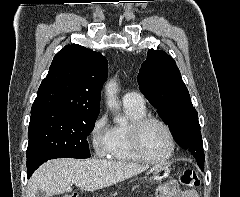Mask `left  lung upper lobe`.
Returning <instances> with one entry per match:
<instances>
[{
    "label": "left lung upper lobe",
    "instance_id": "5c2ea615",
    "mask_svg": "<svg viewBox=\"0 0 240 197\" xmlns=\"http://www.w3.org/2000/svg\"><path fill=\"white\" fill-rule=\"evenodd\" d=\"M138 84L170 127L176 142L191 152L198 165L204 163L198 114L174 59L164 51L148 50L138 74Z\"/></svg>",
    "mask_w": 240,
    "mask_h": 197
}]
</instances>
